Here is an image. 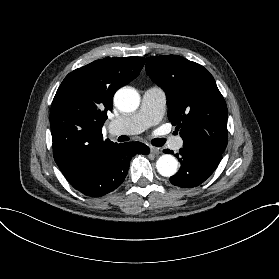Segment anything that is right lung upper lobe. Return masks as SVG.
Here are the masks:
<instances>
[{"label": "right lung upper lobe", "instance_id": "obj_1", "mask_svg": "<svg viewBox=\"0 0 279 279\" xmlns=\"http://www.w3.org/2000/svg\"><path fill=\"white\" fill-rule=\"evenodd\" d=\"M144 57L105 58L69 73L53 99L50 125L53 156L72 186L86 181L117 145L103 140L102 126L113 95L136 78Z\"/></svg>", "mask_w": 279, "mask_h": 279}]
</instances>
